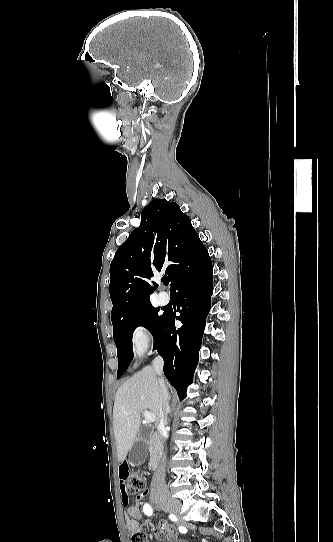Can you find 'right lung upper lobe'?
I'll return each mask as SVG.
<instances>
[{"label": "right lung upper lobe", "mask_w": 333, "mask_h": 542, "mask_svg": "<svg viewBox=\"0 0 333 542\" xmlns=\"http://www.w3.org/2000/svg\"><path fill=\"white\" fill-rule=\"evenodd\" d=\"M198 240L190 218L175 202L152 200L142 211L139 227L118 248L111 262V320L151 304L153 289L149 279L153 271L165 270L172 283L177 252Z\"/></svg>", "instance_id": "right-lung-upper-lobe-1"}]
</instances>
